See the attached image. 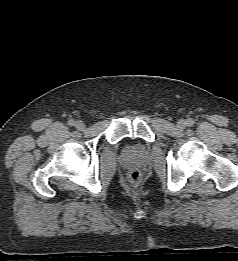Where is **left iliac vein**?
<instances>
[{
	"label": "left iliac vein",
	"instance_id": "1",
	"mask_svg": "<svg viewBox=\"0 0 238 261\" xmlns=\"http://www.w3.org/2000/svg\"><path fill=\"white\" fill-rule=\"evenodd\" d=\"M187 125V122L183 119L179 120L177 123L178 128L183 129Z\"/></svg>",
	"mask_w": 238,
	"mask_h": 261
}]
</instances>
